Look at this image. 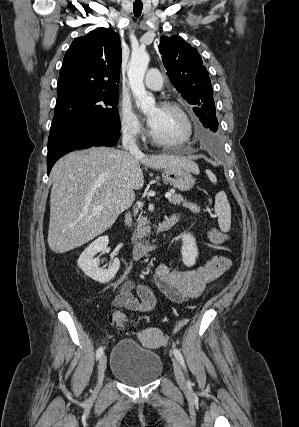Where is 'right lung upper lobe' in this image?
I'll return each mask as SVG.
<instances>
[{"instance_id": "obj_1", "label": "right lung upper lobe", "mask_w": 299, "mask_h": 427, "mask_svg": "<svg viewBox=\"0 0 299 427\" xmlns=\"http://www.w3.org/2000/svg\"><path fill=\"white\" fill-rule=\"evenodd\" d=\"M120 65V38L112 29L99 28L76 38L64 56L57 100L86 92L118 91Z\"/></svg>"}]
</instances>
